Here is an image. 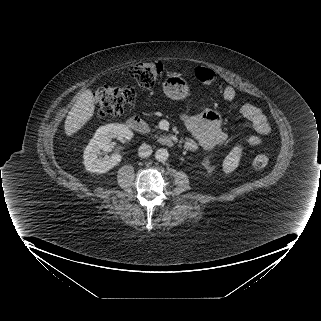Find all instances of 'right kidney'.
<instances>
[{"mask_svg":"<svg viewBox=\"0 0 321 321\" xmlns=\"http://www.w3.org/2000/svg\"><path fill=\"white\" fill-rule=\"evenodd\" d=\"M133 133L123 124H107L100 127L84 150V166L93 173H106L118 165L122 159L118 153L98 157L101 150L109 151L112 148V139H131Z\"/></svg>","mask_w":321,"mask_h":321,"instance_id":"right-kidney-1","label":"right kidney"}]
</instances>
